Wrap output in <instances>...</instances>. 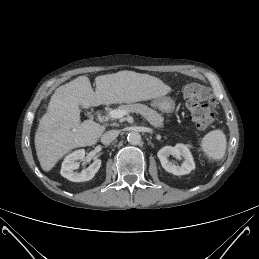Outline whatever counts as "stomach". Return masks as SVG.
<instances>
[{
    "label": "stomach",
    "mask_w": 259,
    "mask_h": 259,
    "mask_svg": "<svg viewBox=\"0 0 259 259\" xmlns=\"http://www.w3.org/2000/svg\"><path fill=\"white\" fill-rule=\"evenodd\" d=\"M154 106L165 113H171L175 109V102L166 96L158 97L154 100Z\"/></svg>",
    "instance_id": "obj_1"
}]
</instances>
